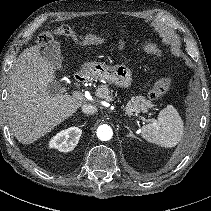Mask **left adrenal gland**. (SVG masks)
<instances>
[{
	"label": "left adrenal gland",
	"mask_w": 211,
	"mask_h": 211,
	"mask_svg": "<svg viewBox=\"0 0 211 211\" xmlns=\"http://www.w3.org/2000/svg\"><path fill=\"white\" fill-rule=\"evenodd\" d=\"M125 128H127V130L129 131V134H127V137H132V138L139 139L137 136H135L133 134V132L131 131V129L128 126H125Z\"/></svg>",
	"instance_id": "obj_1"
}]
</instances>
